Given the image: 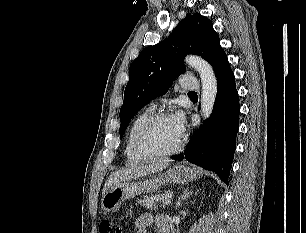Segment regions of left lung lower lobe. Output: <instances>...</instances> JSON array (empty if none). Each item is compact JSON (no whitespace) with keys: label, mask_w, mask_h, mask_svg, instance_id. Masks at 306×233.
<instances>
[{"label":"left lung lower lobe","mask_w":306,"mask_h":233,"mask_svg":"<svg viewBox=\"0 0 306 233\" xmlns=\"http://www.w3.org/2000/svg\"><path fill=\"white\" fill-rule=\"evenodd\" d=\"M218 92L210 118L193 134L184 154L172 159L188 161L215 172L228 184L236 147L239 123V101L234 74L226 54L214 63Z\"/></svg>","instance_id":"0a47b994"}]
</instances>
